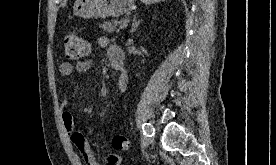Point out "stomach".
<instances>
[{"label":"stomach","mask_w":276,"mask_h":165,"mask_svg":"<svg viewBox=\"0 0 276 165\" xmlns=\"http://www.w3.org/2000/svg\"><path fill=\"white\" fill-rule=\"evenodd\" d=\"M133 7L134 0H76L73 13L86 19L118 17Z\"/></svg>","instance_id":"0dacf381"}]
</instances>
